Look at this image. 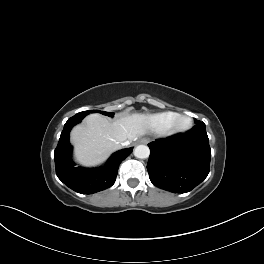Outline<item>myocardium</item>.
<instances>
[{"mask_svg":"<svg viewBox=\"0 0 264 264\" xmlns=\"http://www.w3.org/2000/svg\"><path fill=\"white\" fill-rule=\"evenodd\" d=\"M184 120L185 123L181 124L180 121ZM192 127V119L185 115V114H177L172 123L170 124L169 128L167 129V132L169 134H178V133H184L188 130H190Z\"/></svg>","mask_w":264,"mask_h":264,"instance_id":"obj_1","label":"myocardium"}]
</instances>
